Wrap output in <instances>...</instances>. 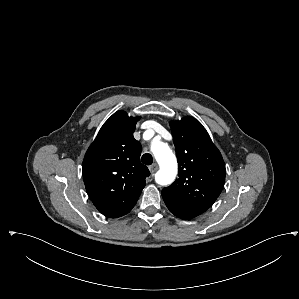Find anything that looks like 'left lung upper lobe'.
<instances>
[{"mask_svg":"<svg viewBox=\"0 0 299 299\" xmlns=\"http://www.w3.org/2000/svg\"><path fill=\"white\" fill-rule=\"evenodd\" d=\"M179 163V178L162 195L197 213L218 198L225 182V164L205 128L187 116L171 123Z\"/></svg>","mask_w":299,"mask_h":299,"instance_id":"obj_1","label":"left lung upper lobe"}]
</instances>
